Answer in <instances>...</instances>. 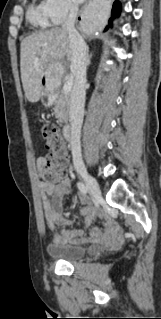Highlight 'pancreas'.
Segmentation results:
<instances>
[{"label": "pancreas", "instance_id": "1", "mask_svg": "<svg viewBox=\"0 0 161 319\" xmlns=\"http://www.w3.org/2000/svg\"><path fill=\"white\" fill-rule=\"evenodd\" d=\"M52 97V96H51ZM68 96L64 93V91H60L54 100V113L55 117L58 119L60 123L66 124L69 119V111H68Z\"/></svg>", "mask_w": 161, "mask_h": 319}]
</instances>
